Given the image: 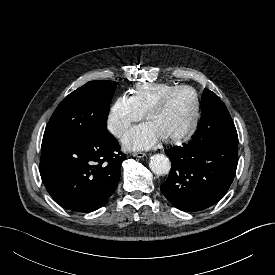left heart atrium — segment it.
I'll return each instance as SVG.
<instances>
[{
  "instance_id": "left-heart-atrium-1",
  "label": "left heart atrium",
  "mask_w": 275,
  "mask_h": 275,
  "mask_svg": "<svg viewBox=\"0 0 275 275\" xmlns=\"http://www.w3.org/2000/svg\"><path fill=\"white\" fill-rule=\"evenodd\" d=\"M161 137L151 123L146 122L129 130L122 139L127 150H147L155 147Z\"/></svg>"
}]
</instances>
